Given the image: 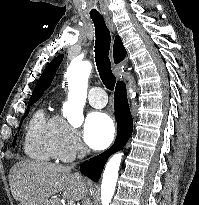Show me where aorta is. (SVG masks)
Listing matches in <instances>:
<instances>
[{"label": "aorta", "instance_id": "obj_1", "mask_svg": "<svg viewBox=\"0 0 199 205\" xmlns=\"http://www.w3.org/2000/svg\"><path fill=\"white\" fill-rule=\"evenodd\" d=\"M92 70L89 61L73 60L67 70L68 100L64 106V115L72 126H80L83 122V107L87 98L88 78ZM132 98L135 93L132 92ZM122 153L114 154L107 162L101 184V203L109 205L114 195Z\"/></svg>", "mask_w": 199, "mask_h": 205}]
</instances>
